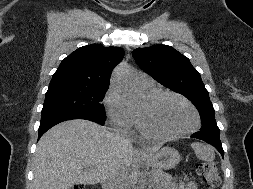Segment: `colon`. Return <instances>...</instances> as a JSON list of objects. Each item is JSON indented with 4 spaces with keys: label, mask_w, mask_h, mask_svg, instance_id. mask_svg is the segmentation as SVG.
I'll return each mask as SVG.
<instances>
[{
    "label": "colon",
    "mask_w": 253,
    "mask_h": 189,
    "mask_svg": "<svg viewBox=\"0 0 253 189\" xmlns=\"http://www.w3.org/2000/svg\"><path fill=\"white\" fill-rule=\"evenodd\" d=\"M196 171L202 180L207 184L208 189H216L220 183V177L216 166L209 162H199L196 164ZM72 189H85L81 185H76Z\"/></svg>",
    "instance_id": "obj_1"
}]
</instances>
